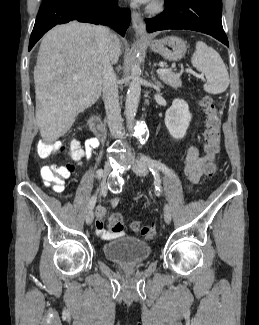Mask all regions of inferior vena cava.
I'll list each match as a JSON object with an SVG mask.
<instances>
[{"label":"inferior vena cava","mask_w":259,"mask_h":325,"mask_svg":"<svg viewBox=\"0 0 259 325\" xmlns=\"http://www.w3.org/2000/svg\"><path fill=\"white\" fill-rule=\"evenodd\" d=\"M98 40L97 67L102 75V92L106 109L107 123L115 137H121L118 132L122 129L121 109L119 105L116 75L110 62V30L106 26H96Z\"/></svg>","instance_id":"602c4592"}]
</instances>
